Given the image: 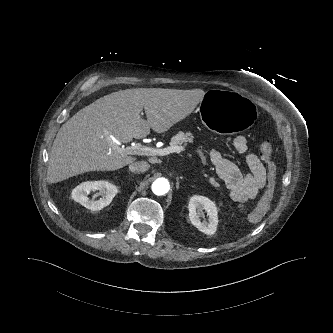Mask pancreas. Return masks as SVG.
<instances>
[{
	"label": "pancreas",
	"mask_w": 333,
	"mask_h": 333,
	"mask_svg": "<svg viewBox=\"0 0 333 333\" xmlns=\"http://www.w3.org/2000/svg\"><path fill=\"white\" fill-rule=\"evenodd\" d=\"M187 142L192 143L193 142V135L191 132H178L175 136L172 137L170 145L171 146H177L181 144H187ZM205 177H208V174H206L204 171H202ZM208 181L211 185L214 187H220V184L216 181L214 177H209Z\"/></svg>",
	"instance_id": "cf45deb5"
}]
</instances>
